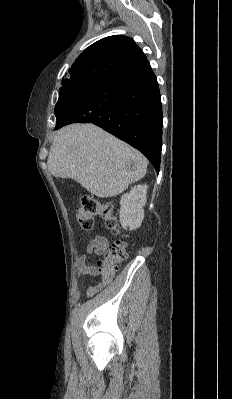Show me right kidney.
Instances as JSON below:
<instances>
[{
    "instance_id": "right-kidney-1",
    "label": "right kidney",
    "mask_w": 232,
    "mask_h": 399,
    "mask_svg": "<svg viewBox=\"0 0 232 399\" xmlns=\"http://www.w3.org/2000/svg\"><path fill=\"white\" fill-rule=\"evenodd\" d=\"M148 186H134L129 194H124L120 200V223L124 229L140 227L144 219L143 205L146 203Z\"/></svg>"
}]
</instances>
